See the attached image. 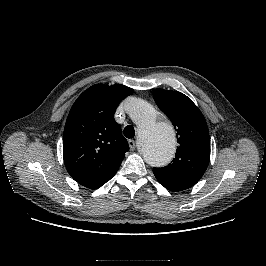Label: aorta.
<instances>
[{"mask_svg":"<svg viewBox=\"0 0 266 266\" xmlns=\"http://www.w3.org/2000/svg\"><path fill=\"white\" fill-rule=\"evenodd\" d=\"M128 112L138 127L140 150L151 166H164L175 153V134L172 126L158 120L157 111L148 102L132 98Z\"/></svg>","mask_w":266,"mask_h":266,"instance_id":"obj_1","label":"aorta"}]
</instances>
